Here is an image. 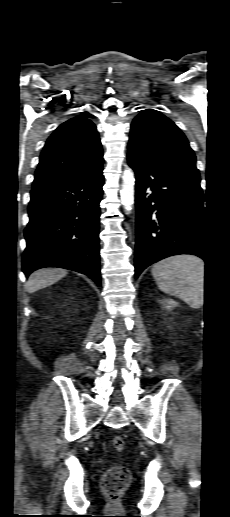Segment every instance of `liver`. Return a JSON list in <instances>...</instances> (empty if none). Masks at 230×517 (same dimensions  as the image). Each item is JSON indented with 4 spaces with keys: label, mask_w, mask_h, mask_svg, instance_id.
<instances>
[{
    "label": "liver",
    "mask_w": 230,
    "mask_h": 517,
    "mask_svg": "<svg viewBox=\"0 0 230 517\" xmlns=\"http://www.w3.org/2000/svg\"><path fill=\"white\" fill-rule=\"evenodd\" d=\"M68 271L60 268H43L33 272L26 283L29 293L46 288L67 275Z\"/></svg>",
    "instance_id": "1"
}]
</instances>
